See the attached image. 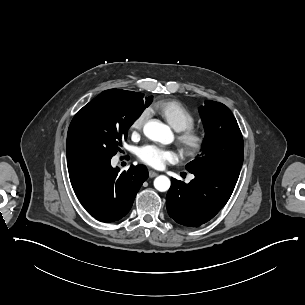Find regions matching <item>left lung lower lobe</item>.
I'll list each match as a JSON object with an SVG mask.
<instances>
[{"label":"left lung lower lobe","instance_id":"left-lung-lower-lobe-1","mask_svg":"<svg viewBox=\"0 0 305 305\" xmlns=\"http://www.w3.org/2000/svg\"><path fill=\"white\" fill-rule=\"evenodd\" d=\"M189 184L171 179L166 196L168 214L178 224L199 227L212 219L227 203L239 174L231 172H190Z\"/></svg>","mask_w":305,"mask_h":305}]
</instances>
